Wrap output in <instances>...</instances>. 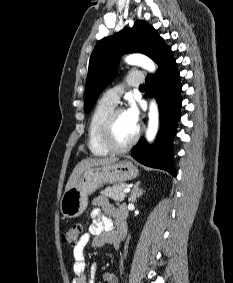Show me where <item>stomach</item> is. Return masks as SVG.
<instances>
[{
	"label": "stomach",
	"mask_w": 233,
	"mask_h": 283,
	"mask_svg": "<svg viewBox=\"0 0 233 283\" xmlns=\"http://www.w3.org/2000/svg\"><path fill=\"white\" fill-rule=\"evenodd\" d=\"M138 174V169L128 160L85 169L74 187L63 194L60 202L61 214L66 218L80 216L87 207L90 194L104 184L133 180Z\"/></svg>",
	"instance_id": "1"
}]
</instances>
